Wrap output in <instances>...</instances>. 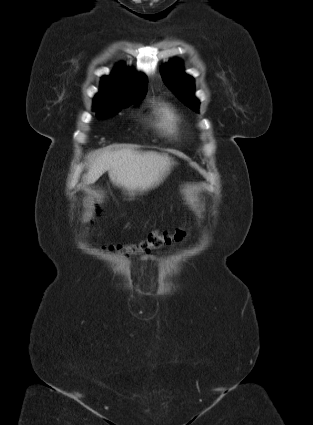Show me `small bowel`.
Returning a JSON list of instances; mask_svg holds the SVG:
<instances>
[{
    "instance_id": "small-bowel-1",
    "label": "small bowel",
    "mask_w": 313,
    "mask_h": 425,
    "mask_svg": "<svg viewBox=\"0 0 313 425\" xmlns=\"http://www.w3.org/2000/svg\"><path fill=\"white\" fill-rule=\"evenodd\" d=\"M143 261H148V260H156L157 258L155 256L152 255H144L141 258Z\"/></svg>"
}]
</instances>
